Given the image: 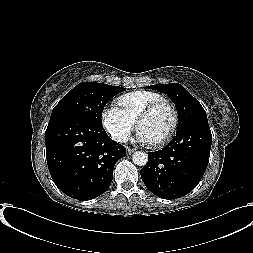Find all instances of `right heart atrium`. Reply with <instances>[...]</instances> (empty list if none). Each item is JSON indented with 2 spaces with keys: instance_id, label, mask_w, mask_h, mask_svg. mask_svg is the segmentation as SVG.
I'll return each instance as SVG.
<instances>
[{
  "instance_id": "right-heart-atrium-1",
  "label": "right heart atrium",
  "mask_w": 253,
  "mask_h": 253,
  "mask_svg": "<svg viewBox=\"0 0 253 253\" xmlns=\"http://www.w3.org/2000/svg\"><path fill=\"white\" fill-rule=\"evenodd\" d=\"M102 123L111 137L119 143L127 141L135 126V122L117 105H110L104 109Z\"/></svg>"
}]
</instances>
